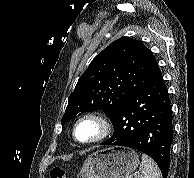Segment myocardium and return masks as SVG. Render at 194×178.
Here are the masks:
<instances>
[{
  "label": "myocardium",
  "mask_w": 194,
  "mask_h": 178,
  "mask_svg": "<svg viewBox=\"0 0 194 178\" xmlns=\"http://www.w3.org/2000/svg\"><path fill=\"white\" fill-rule=\"evenodd\" d=\"M85 121H93L98 125L97 135L89 141H81L77 138V135H76L78 126ZM112 131H113V124H112V121L109 119V117L101 112L93 111V112H88L86 114H83L75 121L72 128V138L78 144L93 145L107 139L112 133Z\"/></svg>",
  "instance_id": "myocardium-1"
}]
</instances>
